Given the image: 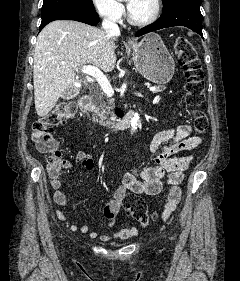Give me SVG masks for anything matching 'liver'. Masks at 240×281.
Returning <instances> with one entry per match:
<instances>
[{
	"label": "liver",
	"mask_w": 240,
	"mask_h": 281,
	"mask_svg": "<svg viewBox=\"0 0 240 281\" xmlns=\"http://www.w3.org/2000/svg\"><path fill=\"white\" fill-rule=\"evenodd\" d=\"M105 31L77 21H53L38 35L34 51L35 109L46 116L75 83L79 65L110 72L116 63L115 41Z\"/></svg>",
	"instance_id": "obj_1"
}]
</instances>
